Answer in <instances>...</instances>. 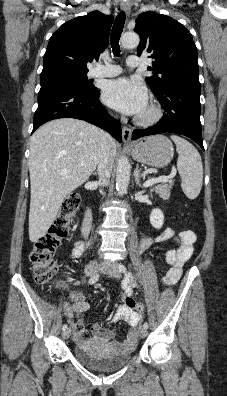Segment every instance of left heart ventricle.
<instances>
[{
    "instance_id": "1",
    "label": "left heart ventricle",
    "mask_w": 227,
    "mask_h": 396,
    "mask_svg": "<svg viewBox=\"0 0 227 396\" xmlns=\"http://www.w3.org/2000/svg\"><path fill=\"white\" fill-rule=\"evenodd\" d=\"M147 112V107L145 108V110L140 114V115H143V114H145Z\"/></svg>"
}]
</instances>
